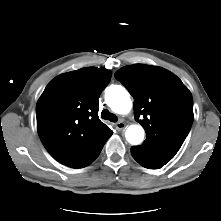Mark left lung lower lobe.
I'll return each instance as SVG.
<instances>
[{
	"instance_id": "left-lung-lower-lobe-1",
	"label": "left lung lower lobe",
	"mask_w": 221,
	"mask_h": 221,
	"mask_svg": "<svg viewBox=\"0 0 221 221\" xmlns=\"http://www.w3.org/2000/svg\"><path fill=\"white\" fill-rule=\"evenodd\" d=\"M131 154L139 164L149 169H159L174 157L146 143L131 147Z\"/></svg>"
}]
</instances>
